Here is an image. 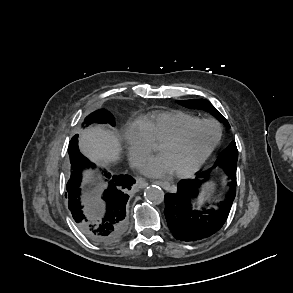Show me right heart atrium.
<instances>
[{
    "mask_svg": "<svg viewBox=\"0 0 293 293\" xmlns=\"http://www.w3.org/2000/svg\"><path fill=\"white\" fill-rule=\"evenodd\" d=\"M124 139L128 158L135 166L144 161L153 150V142L140 123L127 127L124 131Z\"/></svg>",
    "mask_w": 293,
    "mask_h": 293,
    "instance_id": "obj_1",
    "label": "right heart atrium"
}]
</instances>
